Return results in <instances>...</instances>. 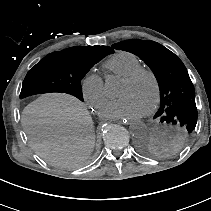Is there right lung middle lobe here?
Listing matches in <instances>:
<instances>
[{
  "instance_id": "1",
  "label": "right lung middle lobe",
  "mask_w": 211,
  "mask_h": 211,
  "mask_svg": "<svg viewBox=\"0 0 211 211\" xmlns=\"http://www.w3.org/2000/svg\"><path fill=\"white\" fill-rule=\"evenodd\" d=\"M105 56L103 53L80 52L73 48L53 52L27 73L20 98L40 93L63 92L83 101L81 80Z\"/></svg>"
}]
</instances>
